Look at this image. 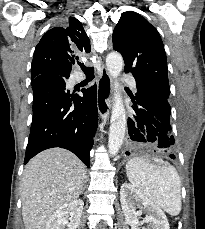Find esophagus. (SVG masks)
<instances>
[{
  "label": "esophagus",
  "instance_id": "34e87169",
  "mask_svg": "<svg viewBox=\"0 0 205 229\" xmlns=\"http://www.w3.org/2000/svg\"><path fill=\"white\" fill-rule=\"evenodd\" d=\"M112 80L107 69L102 66L97 84V108L102 120L109 119L111 112Z\"/></svg>",
  "mask_w": 205,
  "mask_h": 229
}]
</instances>
